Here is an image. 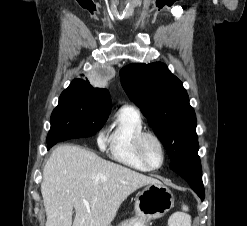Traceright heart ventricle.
Here are the masks:
<instances>
[{
  "label": "right heart ventricle",
  "instance_id": "1",
  "mask_svg": "<svg viewBox=\"0 0 247 226\" xmlns=\"http://www.w3.org/2000/svg\"><path fill=\"white\" fill-rule=\"evenodd\" d=\"M144 131V123L138 110L122 107L108 129V153L115 161L139 171L150 169L138 158L135 140Z\"/></svg>",
  "mask_w": 247,
  "mask_h": 226
}]
</instances>
